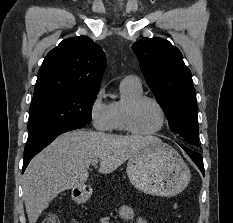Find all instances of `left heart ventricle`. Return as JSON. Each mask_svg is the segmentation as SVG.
<instances>
[{"label":"left heart ventricle","mask_w":233,"mask_h":223,"mask_svg":"<svg viewBox=\"0 0 233 223\" xmlns=\"http://www.w3.org/2000/svg\"><path fill=\"white\" fill-rule=\"evenodd\" d=\"M162 114L159 108L150 101L142 103L135 114V126L142 132H153L162 125Z\"/></svg>","instance_id":"b2bd125f"}]
</instances>
